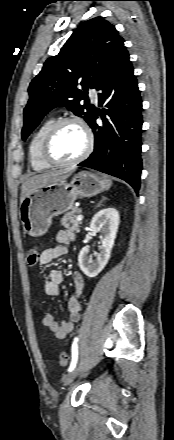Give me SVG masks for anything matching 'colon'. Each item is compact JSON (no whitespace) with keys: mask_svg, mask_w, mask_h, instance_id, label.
<instances>
[{"mask_svg":"<svg viewBox=\"0 0 174 440\" xmlns=\"http://www.w3.org/2000/svg\"><path fill=\"white\" fill-rule=\"evenodd\" d=\"M40 257V251L38 246H32L27 251V263L30 266H35ZM70 356L67 352L63 351L59 355V363L61 366H66L69 362Z\"/></svg>","mask_w":174,"mask_h":440,"instance_id":"1","label":"colon"}]
</instances>
